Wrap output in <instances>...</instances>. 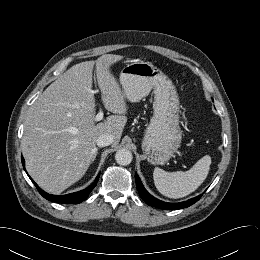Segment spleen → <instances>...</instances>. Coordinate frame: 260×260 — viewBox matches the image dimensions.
<instances>
[{"instance_id": "spleen-1", "label": "spleen", "mask_w": 260, "mask_h": 260, "mask_svg": "<svg viewBox=\"0 0 260 260\" xmlns=\"http://www.w3.org/2000/svg\"><path fill=\"white\" fill-rule=\"evenodd\" d=\"M211 157L206 155L188 171L166 172L158 167L153 178L158 191L169 198H182L194 192L206 179Z\"/></svg>"}]
</instances>
